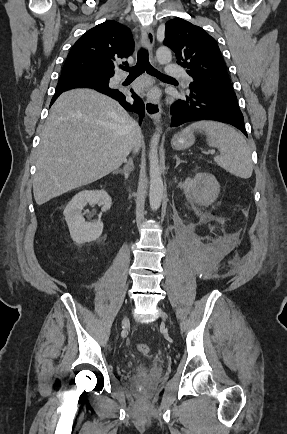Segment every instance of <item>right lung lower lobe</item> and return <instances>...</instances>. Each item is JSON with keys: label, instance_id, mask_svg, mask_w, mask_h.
Here are the masks:
<instances>
[{"label": "right lung lower lobe", "instance_id": "1", "mask_svg": "<svg viewBox=\"0 0 287 434\" xmlns=\"http://www.w3.org/2000/svg\"><path fill=\"white\" fill-rule=\"evenodd\" d=\"M72 88H92L103 94L110 96L111 98L117 100L126 110L136 112L139 114L140 123L144 117L145 106L142 101L132 90V97L134 98V103H129L125 100V95L117 90L111 89L109 87H101L97 85H69V84H58L55 90V95L51 101V104L57 99V97L64 91Z\"/></svg>", "mask_w": 287, "mask_h": 434}]
</instances>
